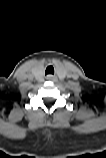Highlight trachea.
Wrapping results in <instances>:
<instances>
[{
	"label": "trachea",
	"mask_w": 106,
	"mask_h": 158,
	"mask_svg": "<svg viewBox=\"0 0 106 158\" xmlns=\"http://www.w3.org/2000/svg\"><path fill=\"white\" fill-rule=\"evenodd\" d=\"M45 74H54V68L52 65L48 66L45 70Z\"/></svg>",
	"instance_id": "3493384b"
}]
</instances>
